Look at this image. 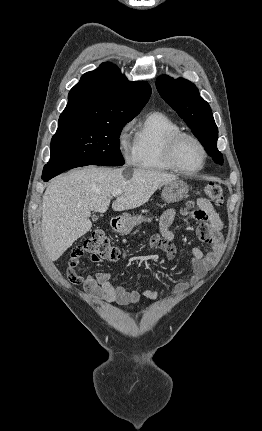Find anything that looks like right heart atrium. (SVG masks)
I'll return each instance as SVG.
<instances>
[{
  "label": "right heart atrium",
  "instance_id": "obj_1",
  "mask_svg": "<svg viewBox=\"0 0 262 431\" xmlns=\"http://www.w3.org/2000/svg\"><path fill=\"white\" fill-rule=\"evenodd\" d=\"M130 125H125L118 136L119 149L127 162L133 159V143L129 136Z\"/></svg>",
  "mask_w": 262,
  "mask_h": 431
}]
</instances>
